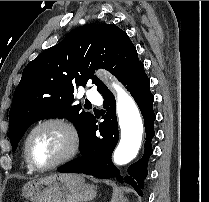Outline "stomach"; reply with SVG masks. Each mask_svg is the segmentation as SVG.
<instances>
[{"label":"stomach","instance_id":"stomach-1","mask_svg":"<svg viewBox=\"0 0 209 202\" xmlns=\"http://www.w3.org/2000/svg\"><path fill=\"white\" fill-rule=\"evenodd\" d=\"M22 196L31 202H87L96 189L81 175L51 174L24 184Z\"/></svg>","mask_w":209,"mask_h":202}]
</instances>
